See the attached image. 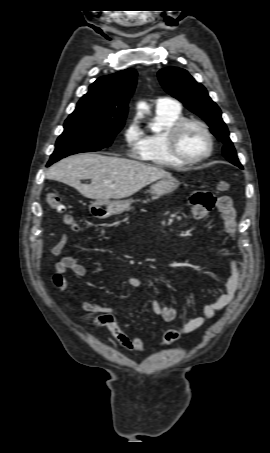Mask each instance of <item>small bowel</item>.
<instances>
[{
    "mask_svg": "<svg viewBox=\"0 0 270 453\" xmlns=\"http://www.w3.org/2000/svg\"><path fill=\"white\" fill-rule=\"evenodd\" d=\"M193 205V214L197 219L203 218L208 213L209 209L201 205L195 200L193 195L191 198ZM216 207L219 211L223 228L218 231L220 235H227L234 237L237 231L236 213L232 205V200L229 196H222L216 200ZM68 243V236L62 235L58 242L52 247L51 253L55 257H60L65 246ZM230 275L225 282V292L221 294L215 301L207 303L202 308V315L190 319L182 326L174 325L171 329L166 331L163 339L157 346L170 345L174 343L181 335L191 333L207 323L212 319L215 313L227 307L234 299L236 292L239 289L242 276H243V261L241 259L233 258L229 264ZM71 270L77 277L86 275V268L80 264L73 256L63 255L56 263V275L61 278L58 288L65 291L68 287V281L64 274ZM143 280L139 277H130L128 285L131 288H140L143 286ZM81 309L84 311V320L92 327L99 328L105 327L111 331L117 340V344L129 352L146 353L151 347L146 346L141 337L136 333L127 334L119 323L118 317L113 313L110 306L99 304L93 301H83L80 304ZM151 312L161 317L166 322H173L178 315V310L168 305H162L154 300L150 305Z\"/></svg>",
    "mask_w": 270,
    "mask_h": 453,
    "instance_id": "1",
    "label": "small bowel"
}]
</instances>
